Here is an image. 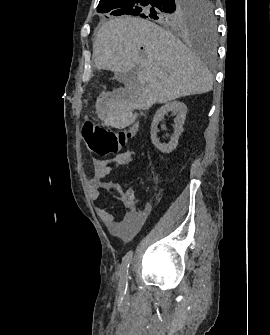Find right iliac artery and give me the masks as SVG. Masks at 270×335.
I'll use <instances>...</instances> for the list:
<instances>
[{"label": "right iliac artery", "mask_w": 270, "mask_h": 335, "mask_svg": "<svg viewBox=\"0 0 270 335\" xmlns=\"http://www.w3.org/2000/svg\"><path fill=\"white\" fill-rule=\"evenodd\" d=\"M133 251H129L122 260L121 264V272H120V291L121 293H126L128 286V269L130 265V261L132 259Z\"/></svg>", "instance_id": "1"}]
</instances>
